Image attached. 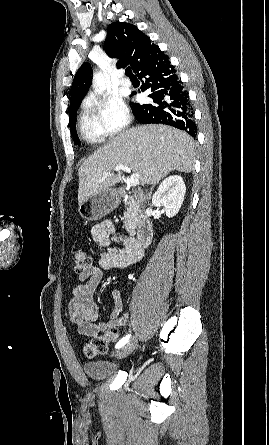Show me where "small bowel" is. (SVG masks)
Segmentation results:
<instances>
[{
	"instance_id": "obj_1",
	"label": "small bowel",
	"mask_w": 269,
	"mask_h": 445,
	"mask_svg": "<svg viewBox=\"0 0 269 445\" xmlns=\"http://www.w3.org/2000/svg\"><path fill=\"white\" fill-rule=\"evenodd\" d=\"M91 235L104 250L95 265H90L79 274L80 283L72 289V298L68 306L69 318L78 332L90 337L100 333L105 335L113 330L118 332L119 327L126 325L128 313H122L123 306L119 291L111 292L113 308L105 321L97 322L99 309L94 302V296L105 272L124 269L139 261L143 256V250L137 248L132 239L116 235L111 221L94 225ZM112 241L122 242L124 247L121 249L111 247Z\"/></svg>"
}]
</instances>
